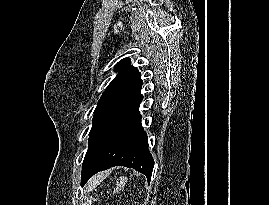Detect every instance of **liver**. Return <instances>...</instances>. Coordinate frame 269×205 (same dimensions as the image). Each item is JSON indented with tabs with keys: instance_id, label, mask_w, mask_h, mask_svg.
Instances as JSON below:
<instances>
[{
	"instance_id": "6515ba94",
	"label": "liver",
	"mask_w": 269,
	"mask_h": 205,
	"mask_svg": "<svg viewBox=\"0 0 269 205\" xmlns=\"http://www.w3.org/2000/svg\"><path fill=\"white\" fill-rule=\"evenodd\" d=\"M104 176H99L98 178H97V180H101L102 178H103Z\"/></svg>"
}]
</instances>
